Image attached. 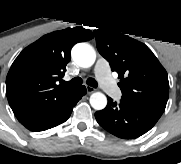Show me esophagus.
<instances>
[{
  "label": "esophagus",
  "mask_w": 181,
  "mask_h": 164,
  "mask_svg": "<svg viewBox=\"0 0 181 164\" xmlns=\"http://www.w3.org/2000/svg\"><path fill=\"white\" fill-rule=\"evenodd\" d=\"M94 88H92L91 86H86V91H87V94H91L94 92Z\"/></svg>",
  "instance_id": "34e87169"
}]
</instances>
